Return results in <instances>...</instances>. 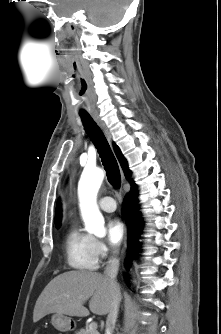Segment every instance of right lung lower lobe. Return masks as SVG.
<instances>
[{
	"instance_id": "98d812e1",
	"label": "right lung lower lobe",
	"mask_w": 221,
	"mask_h": 334,
	"mask_svg": "<svg viewBox=\"0 0 221 334\" xmlns=\"http://www.w3.org/2000/svg\"><path fill=\"white\" fill-rule=\"evenodd\" d=\"M123 210L129 227L128 253L126 257V265L129 268L131 259L135 258L138 251V239L142 228L137 207L136 185L134 183L131 186L130 194L124 201Z\"/></svg>"
}]
</instances>
